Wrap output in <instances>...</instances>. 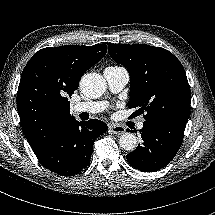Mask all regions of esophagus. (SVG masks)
<instances>
[{"label":"esophagus","mask_w":215,"mask_h":215,"mask_svg":"<svg viewBox=\"0 0 215 215\" xmlns=\"http://www.w3.org/2000/svg\"><path fill=\"white\" fill-rule=\"evenodd\" d=\"M109 129L117 135H122L126 132V129L124 126H120V125H115V124H110L109 125Z\"/></svg>","instance_id":"obj_1"}]
</instances>
